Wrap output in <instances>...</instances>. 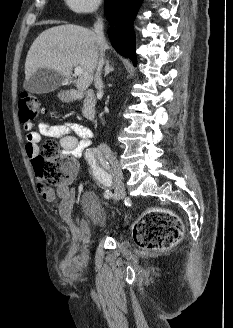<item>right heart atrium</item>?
<instances>
[{"mask_svg":"<svg viewBox=\"0 0 233 328\" xmlns=\"http://www.w3.org/2000/svg\"><path fill=\"white\" fill-rule=\"evenodd\" d=\"M65 3L75 13L89 14L99 9L102 0H65Z\"/></svg>","mask_w":233,"mask_h":328,"instance_id":"d8ad5b80","label":"right heart atrium"}]
</instances>
